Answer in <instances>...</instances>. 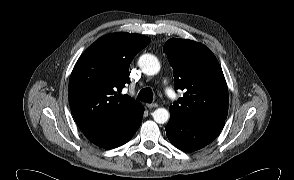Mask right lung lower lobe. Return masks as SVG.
Here are the masks:
<instances>
[{
	"instance_id": "right-lung-lower-lobe-1",
	"label": "right lung lower lobe",
	"mask_w": 294,
	"mask_h": 180,
	"mask_svg": "<svg viewBox=\"0 0 294 180\" xmlns=\"http://www.w3.org/2000/svg\"><path fill=\"white\" fill-rule=\"evenodd\" d=\"M144 107L141 103L135 105L119 121L111 126L85 129L84 135L95 145L103 148H115L128 142L143 118Z\"/></svg>"
}]
</instances>
